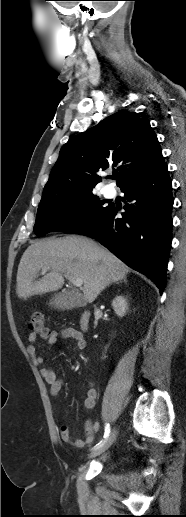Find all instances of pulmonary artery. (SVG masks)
Segmentation results:
<instances>
[{
  "label": "pulmonary artery",
  "instance_id": "1",
  "mask_svg": "<svg viewBox=\"0 0 186 517\" xmlns=\"http://www.w3.org/2000/svg\"><path fill=\"white\" fill-rule=\"evenodd\" d=\"M104 193L107 195V196H111L113 194L112 190L109 189V188H105L104 189Z\"/></svg>",
  "mask_w": 186,
  "mask_h": 517
}]
</instances>
